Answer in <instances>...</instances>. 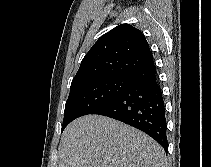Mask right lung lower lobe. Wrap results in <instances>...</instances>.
I'll use <instances>...</instances> for the list:
<instances>
[{
	"label": "right lung lower lobe",
	"mask_w": 211,
	"mask_h": 167,
	"mask_svg": "<svg viewBox=\"0 0 211 167\" xmlns=\"http://www.w3.org/2000/svg\"><path fill=\"white\" fill-rule=\"evenodd\" d=\"M127 78L128 88L93 114L108 116L140 129L167 152L165 105L155 64Z\"/></svg>",
	"instance_id": "98d812e1"
}]
</instances>
